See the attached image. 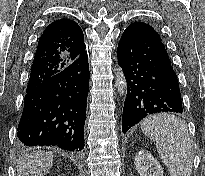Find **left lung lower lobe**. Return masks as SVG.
<instances>
[{
    "mask_svg": "<svg viewBox=\"0 0 205 176\" xmlns=\"http://www.w3.org/2000/svg\"><path fill=\"white\" fill-rule=\"evenodd\" d=\"M117 52L127 82L123 133L150 114L183 112L178 79L161 40L129 25Z\"/></svg>",
    "mask_w": 205,
    "mask_h": 176,
    "instance_id": "0a47b994",
    "label": "left lung lower lobe"
}]
</instances>
